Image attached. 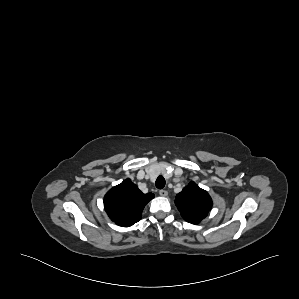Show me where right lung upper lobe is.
I'll return each instance as SVG.
<instances>
[{
	"label": "right lung upper lobe",
	"mask_w": 299,
	"mask_h": 299,
	"mask_svg": "<svg viewBox=\"0 0 299 299\" xmlns=\"http://www.w3.org/2000/svg\"><path fill=\"white\" fill-rule=\"evenodd\" d=\"M154 194L142 193L130 179L113 187L104 197L105 211L117 225L129 227L141 218L145 205Z\"/></svg>",
	"instance_id": "1"
}]
</instances>
